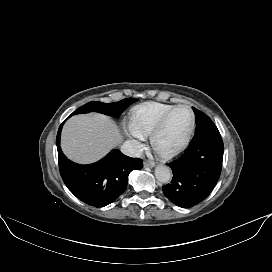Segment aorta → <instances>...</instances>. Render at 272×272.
Instances as JSON below:
<instances>
[{
  "label": "aorta",
  "instance_id": "762f6f07",
  "mask_svg": "<svg viewBox=\"0 0 272 272\" xmlns=\"http://www.w3.org/2000/svg\"><path fill=\"white\" fill-rule=\"evenodd\" d=\"M155 177L161 183H167L172 177L171 169L168 166L160 165L155 168Z\"/></svg>",
  "mask_w": 272,
  "mask_h": 272
}]
</instances>
